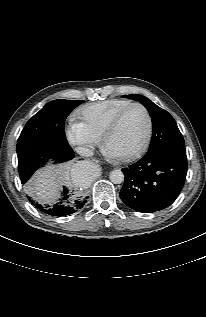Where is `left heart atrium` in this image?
I'll use <instances>...</instances> for the list:
<instances>
[{"instance_id": "39dd6f15", "label": "left heart atrium", "mask_w": 206, "mask_h": 317, "mask_svg": "<svg viewBox=\"0 0 206 317\" xmlns=\"http://www.w3.org/2000/svg\"><path fill=\"white\" fill-rule=\"evenodd\" d=\"M104 152L108 157H111V158L116 157L115 153L112 150H110L108 147L104 148Z\"/></svg>"}]
</instances>
